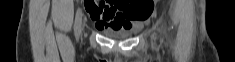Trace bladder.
Listing matches in <instances>:
<instances>
[{"label": "bladder", "mask_w": 235, "mask_h": 62, "mask_svg": "<svg viewBox=\"0 0 235 62\" xmlns=\"http://www.w3.org/2000/svg\"><path fill=\"white\" fill-rule=\"evenodd\" d=\"M109 35L114 36V37H118V38H122L128 35V33L126 32H122L119 30H112L108 32Z\"/></svg>", "instance_id": "31cf9c89"}]
</instances>
